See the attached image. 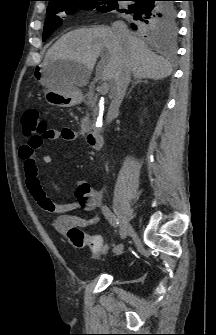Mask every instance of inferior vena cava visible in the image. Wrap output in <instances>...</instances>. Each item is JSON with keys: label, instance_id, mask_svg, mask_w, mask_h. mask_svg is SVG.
Instances as JSON below:
<instances>
[{"label": "inferior vena cava", "instance_id": "inferior-vena-cava-1", "mask_svg": "<svg viewBox=\"0 0 216 335\" xmlns=\"http://www.w3.org/2000/svg\"><path fill=\"white\" fill-rule=\"evenodd\" d=\"M112 30L119 41H124L129 37V31L127 29V26L122 21L114 22L112 24ZM130 76V70L128 69V67H125L115 81L114 98L110 104L107 114L108 123H110L118 114L119 107L123 101L126 89L130 82Z\"/></svg>", "mask_w": 216, "mask_h": 335}]
</instances>
